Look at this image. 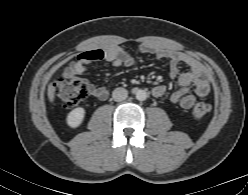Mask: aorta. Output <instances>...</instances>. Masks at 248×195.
Masks as SVG:
<instances>
[{"label": "aorta", "instance_id": "1", "mask_svg": "<svg viewBox=\"0 0 248 195\" xmlns=\"http://www.w3.org/2000/svg\"><path fill=\"white\" fill-rule=\"evenodd\" d=\"M136 99L139 101H144L147 99V92L145 90H137L136 91Z\"/></svg>", "mask_w": 248, "mask_h": 195}]
</instances>
